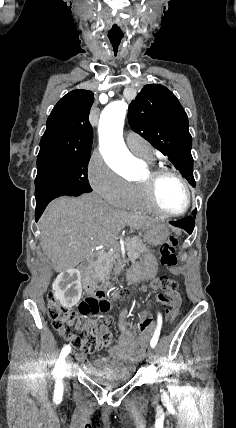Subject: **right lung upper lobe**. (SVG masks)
I'll list each match as a JSON object with an SVG mask.
<instances>
[{
	"instance_id": "cb5924a9",
	"label": "right lung upper lobe",
	"mask_w": 236,
	"mask_h": 428,
	"mask_svg": "<svg viewBox=\"0 0 236 428\" xmlns=\"http://www.w3.org/2000/svg\"><path fill=\"white\" fill-rule=\"evenodd\" d=\"M93 100V93L88 90H73L66 94L47 120L39 153H90L93 129L88 115Z\"/></svg>"
}]
</instances>
